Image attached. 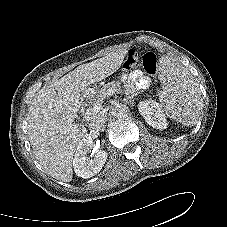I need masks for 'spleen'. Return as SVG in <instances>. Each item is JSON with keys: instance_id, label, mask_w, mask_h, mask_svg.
Masks as SVG:
<instances>
[{"instance_id": "3e777b00", "label": "spleen", "mask_w": 227, "mask_h": 227, "mask_svg": "<svg viewBox=\"0 0 227 227\" xmlns=\"http://www.w3.org/2000/svg\"><path fill=\"white\" fill-rule=\"evenodd\" d=\"M159 78L163 83L160 99L167 116L186 126L195 125L201 115L203 100L188 69L178 60L162 56Z\"/></svg>"}]
</instances>
